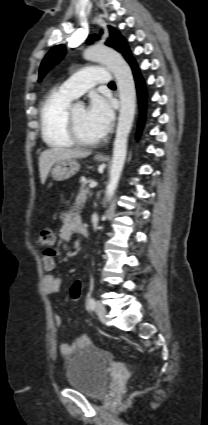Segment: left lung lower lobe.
<instances>
[{"label":"left lung lower lobe","instance_id":"0a47b994","mask_svg":"<svg viewBox=\"0 0 208 425\" xmlns=\"http://www.w3.org/2000/svg\"><path fill=\"white\" fill-rule=\"evenodd\" d=\"M129 64L132 68L134 78L136 81V87H137L138 99H139L140 111H141V117L139 121V132H138V136H139L140 130L143 124V118H144V112H145L146 89H145L143 79L141 77V74L139 72V69L135 60L133 59Z\"/></svg>","mask_w":208,"mask_h":425}]
</instances>
